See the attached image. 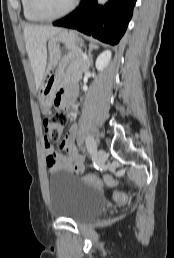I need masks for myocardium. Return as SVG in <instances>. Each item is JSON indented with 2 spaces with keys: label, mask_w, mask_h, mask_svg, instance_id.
<instances>
[{
  "label": "myocardium",
  "mask_w": 174,
  "mask_h": 258,
  "mask_svg": "<svg viewBox=\"0 0 174 258\" xmlns=\"http://www.w3.org/2000/svg\"><path fill=\"white\" fill-rule=\"evenodd\" d=\"M78 3L79 0H73L72 3L65 10L55 15H47L41 12L37 6L36 0H29V7L32 13L40 20L52 21L70 14L77 7Z\"/></svg>",
  "instance_id": "myocardium-1"
}]
</instances>
